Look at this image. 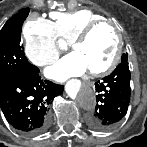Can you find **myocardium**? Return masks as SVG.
<instances>
[{"label": "myocardium", "mask_w": 147, "mask_h": 147, "mask_svg": "<svg viewBox=\"0 0 147 147\" xmlns=\"http://www.w3.org/2000/svg\"><path fill=\"white\" fill-rule=\"evenodd\" d=\"M103 26H109V27L113 28V30L115 31L116 36H117V47H116L115 53L113 55V58L108 65H106L105 67H103L99 70L89 71V74L93 77L105 76V75L111 73L117 67V65L121 59L122 51H123V39H122L121 33L118 30V28L111 21H108L105 19L95 21V22L89 24L87 27H85L81 32H79L71 40V43H70L71 48L74 49L77 44L85 42L89 38V36L92 34L93 31H95L99 27H103Z\"/></svg>", "instance_id": "1"}]
</instances>
